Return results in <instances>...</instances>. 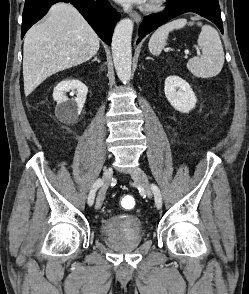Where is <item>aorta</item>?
<instances>
[{"mask_svg": "<svg viewBox=\"0 0 249 294\" xmlns=\"http://www.w3.org/2000/svg\"><path fill=\"white\" fill-rule=\"evenodd\" d=\"M133 22L130 19L119 21L112 37V56L118 78L126 84L131 79Z\"/></svg>", "mask_w": 249, "mask_h": 294, "instance_id": "obj_1", "label": "aorta"}]
</instances>
